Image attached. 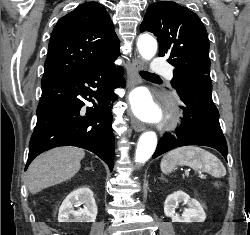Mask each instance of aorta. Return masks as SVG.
I'll return each mask as SVG.
<instances>
[{
    "label": "aorta",
    "instance_id": "762f6f07",
    "mask_svg": "<svg viewBox=\"0 0 250 235\" xmlns=\"http://www.w3.org/2000/svg\"><path fill=\"white\" fill-rule=\"evenodd\" d=\"M140 55L145 60H150L157 51L156 40L147 34L141 35L137 42ZM157 145V136L155 132L149 131L143 133L138 141L135 160L138 163H145L154 153Z\"/></svg>",
    "mask_w": 250,
    "mask_h": 235
}]
</instances>
